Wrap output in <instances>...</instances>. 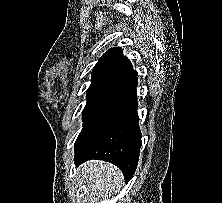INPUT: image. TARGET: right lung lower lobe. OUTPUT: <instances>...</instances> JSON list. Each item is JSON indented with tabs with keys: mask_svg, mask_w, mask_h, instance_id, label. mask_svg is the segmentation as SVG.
<instances>
[{
	"mask_svg": "<svg viewBox=\"0 0 222 203\" xmlns=\"http://www.w3.org/2000/svg\"><path fill=\"white\" fill-rule=\"evenodd\" d=\"M137 78L85 120L75 142V164L100 159L119 167L128 182L138 163L141 132L137 115Z\"/></svg>",
	"mask_w": 222,
	"mask_h": 203,
	"instance_id": "right-lung-lower-lobe-1",
	"label": "right lung lower lobe"
}]
</instances>
